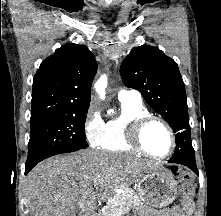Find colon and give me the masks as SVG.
<instances>
[{
  "mask_svg": "<svg viewBox=\"0 0 221 216\" xmlns=\"http://www.w3.org/2000/svg\"><path fill=\"white\" fill-rule=\"evenodd\" d=\"M175 172L181 182L182 202L190 203L192 195L191 179L187 171L184 169H176Z\"/></svg>",
  "mask_w": 221,
  "mask_h": 216,
  "instance_id": "5ec220e1",
  "label": "colon"
}]
</instances>
